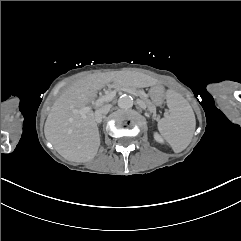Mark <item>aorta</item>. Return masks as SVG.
<instances>
[{
  "label": "aorta",
  "instance_id": "1",
  "mask_svg": "<svg viewBox=\"0 0 241 241\" xmlns=\"http://www.w3.org/2000/svg\"><path fill=\"white\" fill-rule=\"evenodd\" d=\"M133 98L129 95H123L118 99V106L121 109L127 110L133 106Z\"/></svg>",
  "mask_w": 241,
  "mask_h": 241
}]
</instances>
